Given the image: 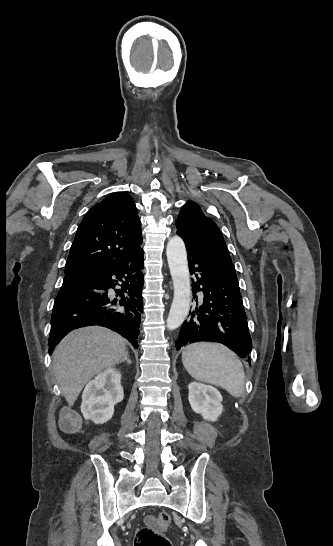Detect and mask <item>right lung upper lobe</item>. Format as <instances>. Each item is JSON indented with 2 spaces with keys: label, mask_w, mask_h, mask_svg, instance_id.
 I'll return each mask as SVG.
<instances>
[{
  "label": "right lung upper lobe",
  "mask_w": 333,
  "mask_h": 546,
  "mask_svg": "<svg viewBox=\"0 0 333 546\" xmlns=\"http://www.w3.org/2000/svg\"><path fill=\"white\" fill-rule=\"evenodd\" d=\"M140 220L133 198L111 194L93 206L78 226L65 275L126 263L141 251Z\"/></svg>",
  "instance_id": "1"
}]
</instances>
